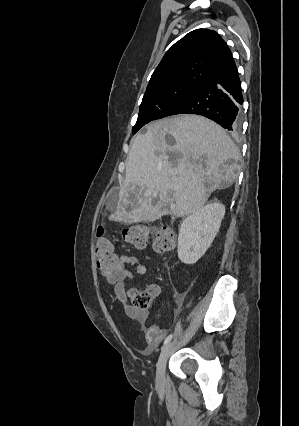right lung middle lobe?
Here are the masks:
<instances>
[{
	"mask_svg": "<svg viewBox=\"0 0 299 426\" xmlns=\"http://www.w3.org/2000/svg\"><path fill=\"white\" fill-rule=\"evenodd\" d=\"M197 87L194 84L173 82L146 89L132 133L135 134L150 121L159 119L165 110Z\"/></svg>",
	"mask_w": 299,
	"mask_h": 426,
	"instance_id": "obj_1",
	"label": "right lung middle lobe"
}]
</instances>
